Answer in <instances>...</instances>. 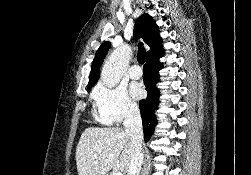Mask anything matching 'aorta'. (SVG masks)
<instances>
[{"label": "aorta", "instance_id": "1", "mask_svg": "<svg viewBox=\"0 0 251 175\" xmlns=\"http://www.w3.org/2000/svg\"><path fill=\"white\" fill-rule=\"evenodd\" d=\"M131 56L132 48L128 44H123V46H119L112 52L101 72L100 80H102L106 88H115L119 84L127 70V66H129Z\"/></svg>", "mask_w": 251, "mask_h": 175}]
</instances>
